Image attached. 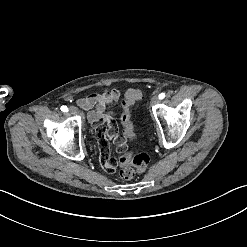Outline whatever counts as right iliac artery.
I'll return each instance as SVG.
<instances>
[{
  "mask_svg": "<svg viewBox=\"0 0 247 247\" xmlns=\"http://www.w3.org/2000/svg\"><path fill=\"white\" fill-rule=\"evenodd\" d=\"M61 111H63V112H68V108H67V106H61Z\"/></svg>",
  "mask_w": 247,
  "mask_h": 247,
  "instance_id": "1",
  "label": "right iliac artery"
}]
</instances>
